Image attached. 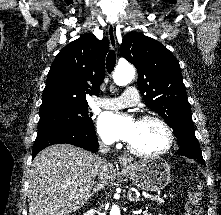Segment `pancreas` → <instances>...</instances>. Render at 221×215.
<instances>
[{"label": "pancreas", "mask_w": 221, "mask_h": 215, "mask_svg": "<svg viewBox=\"0 0 221 215\" xmlns=\"http://www.w3.org/2000/svg\"><path fill=\"white\" fill-rule=\"evenodd\" d=\"M152 200L158 202L159 204H163L164 203L163 200H156L155 198H152Z\"/></svg>", "instance_id": "cf45deb5"}]
</instances>
